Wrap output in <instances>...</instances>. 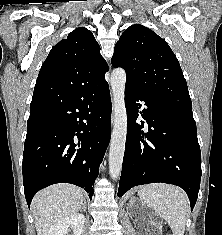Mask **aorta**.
<instances>
[{
  "mask_svg": "<svg viewBox=\"0 0 222 235\" xmlns=\"http://www.w3.org/2000/svg\"><path fill=\"white\" fill-rule=\"evenodd\" d=\"M126 72L116 68L111 73V88L114 102V127L109 150V173L112 179L119 178L127 136V112L125 107Z\"/></svg>",
  "mask_w": 222,
  "mask_h": 235,
  "instance_id": "obj_1",
  "label": "aorta"
}]
</instances>
